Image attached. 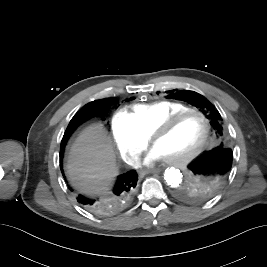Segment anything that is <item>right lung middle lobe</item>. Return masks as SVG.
I'll list each match as a JSON object with an SVG mask.
<instances>
[{
  "label": "right lung middle lobe",
  "instance_id": "obj_1",
  "mask_svg": "<svg viewBox=\"0 0 267 267\" xmlns=\"http://www.w3.org/2000/svg\"><path fill=\"white\" fill-rule=\"evenodd\" d=\"M97 103V102H95ZM99 104H105L104 105V108L107 110L110 106V103H111V99H102L100 101H98Z\"/></svg>",
  "mask_w": 267,
  "mask_h": 267
}]
</instances>
